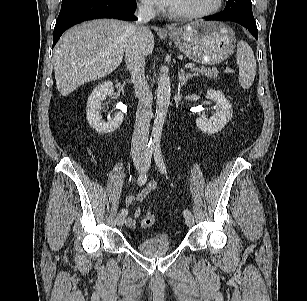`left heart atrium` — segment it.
<instances>
[{
	"mask_svg": "<svg viewBox=\"0 0 307 301\" xmlns=\"http://www.w3.org/2000/svg\"><path fill=\"white\" fill-rule=\"evenodd\" d=\"M177 0H150V2L154 3L161 9H171L175 5Z\"/></svg>",
	"mask_w": 307,
	"mask_h": 301,
	"instance_id": "left-heart-atrium-1",
	"label": "left heart atrium"
}]
</instances>
